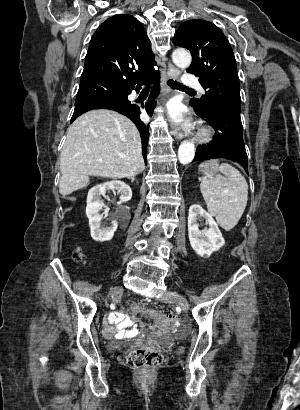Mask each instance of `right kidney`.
<instances>
[{
  "label": "right kidney",
  "mask_w": 300,
  "mask_h": 410,
  "mask_svg": "<svg viewBox=\"0 0 300 410\" xmlns=\"http://www.w3.org/2000/svg\"><path fill=\"white\" fill-rule=\"evenodd\" d=\"M107 191H113L114 194H119L120 203L128 202L132 198L131 188L126 183L119 180L105 182L103 184L96 185L89 190L87 196L86 216L89 219L91 237L95 241L99 242L111 240L118 227L116 220H113L110 226L104 227L102 225L103 216L100 215L99 212L104 206V203L101 197H105Z\"/></svg>",
  "instance_id": "right-kidney-1"
}]
</instances>
